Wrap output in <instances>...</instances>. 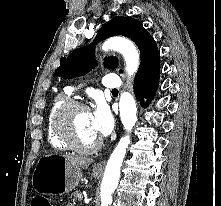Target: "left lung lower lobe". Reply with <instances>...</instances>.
<instances>
[{
  "instance_id": "obj_1",
  "label": "left lung lower lobe",
  "mask_w": 221,
  "mask_h": 206,
  "mask_svg": "<svg viewBox=\"0 0 221 206\" xmlns=\"http://www.w3.org/2000/svg\"><path fill=\"white\" fill-rule=\"evenodd\" d=\"M160 71L142 77L134 82V93L141 105L146 107L153 98L159 84ZM143 98H147L144 102Z\"/></svg>"
}]
</instances>
